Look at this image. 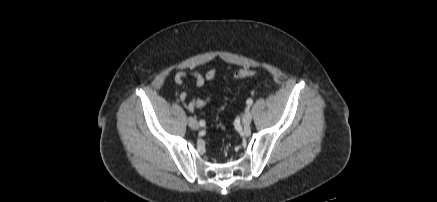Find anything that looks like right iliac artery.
Here are the masks:
<instances>
[{"label":"right iliac artery","mask_w":437,"mask_h":202,"mask_svg":"<svg viewBox=\"0 0 437 202\" xmlns=\"http://www.w3.org/2000/svg\"><path fill=\"white\" fill-rule=\"evenodd\" d=\"M199 124H200V126H205V121L204 120H200Z\"/></svg>","instance_id":"82829eb1"}]
</instances>
